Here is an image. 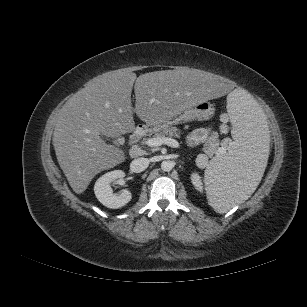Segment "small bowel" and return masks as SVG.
I'll return each instance as SVG.
<instances>
[{
    "mask_svg": "<svg viewBox=\"0 0 307 307\" xmlns=\"http://www.w3.org/2000/svg\"><path fill=\"white\" fill-rule=\"evenodd\" d=\"M210 131V128H199L192 131L188 136V142L191 145H196L203 142Z\"/></svg>",
    "mask_w": 307,
    "mask_h": 307,
    "instance_id": "c3829d8e",
    "label": "small bowel"
}]
</instances>
